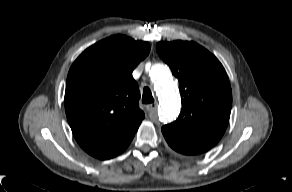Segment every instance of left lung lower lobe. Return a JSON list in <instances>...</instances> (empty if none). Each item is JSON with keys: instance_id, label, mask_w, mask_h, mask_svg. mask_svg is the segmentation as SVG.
Returning a JSON list of instances; mask_svg holds the SVG:
<instances>
[{"instance_id": "obj_1", "label": "left lung lower lobe", "mask_w": 292, "mask_h": 192, "mask_svg": "<svg viewBox=\"0 0 292 192\" xmlns=\"http://www.w3.org/2000/svg\"><path fill=\"white\" fill-rule=\"evenodd\" d=\"M162 133L168 143V145L175 151L185 155H197L204 153L211 149L213 146L203 143L196 142L184 137L178 136L168 130L162 129Z\"/></svg>"}]
</instances>
